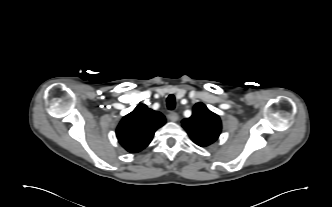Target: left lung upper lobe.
Here are the masks:
<instances>
[{
  "instance_id": "1",
  "label": "left lung upper lobe",
  "mask_w": 332,
  "mask_h": 207,
  "mask_svg": "<svg viewBox=\"0 0 332 207\" xmlns=\"http://www.w3.org/2000/svg\"><path fill=\"white\" fill-rule=\"evenodd\" d=\"M182 126L192 141L201 147L215 142L222 128L220 117L211 112L203 103H197L193 107L192 116L182 120Z\"/></svg>"
}]
</instances>
